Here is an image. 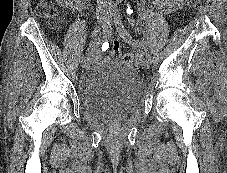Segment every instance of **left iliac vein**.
Segmentation results:
<instances>
[{"label":"left iliac vein","instance_id":"1","mask_svg":"<svg viewBox=\"0 0 227 173\" xmlns=\"http://www.w3.org/2000/svg\"><path fill=\"white\" fill-rule=\"evenodd\" d=\"M113 16H115V14ZM110 18H111V15L109 17V20H110ZM117 31H118L119 35L124 39L126 37V34H129V32H127L126 29H124V28L122 30H117ZM150 64H151V59L147 56L141 62V66L145 70L149 69Z\"/></svg>","mask_w":227,"mask_h":173}]
</instances>
